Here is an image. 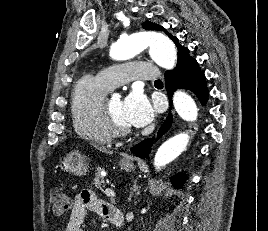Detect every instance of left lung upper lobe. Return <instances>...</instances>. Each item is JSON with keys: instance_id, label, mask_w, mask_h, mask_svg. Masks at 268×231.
<instances>
[{"instance_id": "left-lung-upper-lobe-1", "label": "left lung upper lobe", "mask_w": 268, "mask_h": 231, "mask_svg": "<svg viewBox=\"0 0 268 231\" xmlns=\"http://www.w3.org/2000/svg\"><path fill=\"white\" fill-rule=\"evenodd\" d=\"M142 27L146 30H157V31H163L165 32L171 39L172 41L175 43L177 49H178V62H177V66L175 69H178L179 67H181L185 61L190 58L191 56L189 55V49L187 47L182 46L177 37L172 36L171 34H169L162 26L157 25L155 23H152L150 21H145L142 24Z\"/></svg>"}]
</instances>
